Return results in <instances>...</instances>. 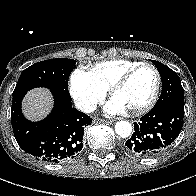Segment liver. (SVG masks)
Segmentation results:
<instances>
[{"label":"liver","instance_id":"obj_1","mask_svg":"<svg viewBox=\"0 0 196 196\" xmlns=\"http://www.w3.org/2000/svg\"><path fill=\"white\" fill-rule=\"evenodd\" d=\"M52 96L49 90L37 88L30 91L23 103L24 114L31 120L43 118L51 109Z\"/></svg>","mask_w":196,"mask_h":196}]
</instances>
